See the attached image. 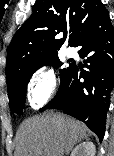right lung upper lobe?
<instances>
[{"label":"right lung upper lobe","instance_id":"cb5924a9","mask_svg":"<svg viewBox=\"0 0 114 156\" xmlns=\"http://www.w3.org/2000/svg\"><path fill=\"white\" fill-rule=\"evenodd\" d=\"M105 9L100 0H36L30 18L15 33L8 48L7 86L21 73L57 56L65 42L55 39L70 32L73 46L80 33Z\"/></svg>","mask_w":114,"mask_h":156}]
</instances>
